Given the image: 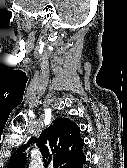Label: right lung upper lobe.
<instances>
[{
	"mask_svg": "<svg viewBox=\"0 0 127 168\" xmlns=\"http://www.w3.org/2000/svg\"><path fill=\"white\" fill-rule=\"evenodd\" d=\"M36 142L43 156L44 165L53 168H74L84 158V141L80 128L68 118H56L39 138L32 137L28 144L21 146L10 158L7 168H25L26 149Z\"/></svg>",
	"mask_w": 127,
	"mask_h": 168,
	"instance_id": "cb5924a9",
	"label": "right lung upper lobe"
}]
</instances>
